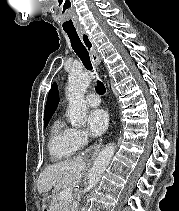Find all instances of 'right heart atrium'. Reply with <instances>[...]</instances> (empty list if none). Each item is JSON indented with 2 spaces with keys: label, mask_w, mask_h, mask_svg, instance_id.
<instances>
[{
  "label": "right heart atrium",
  "mask_w": 179,
  "mask_h": 211,
  "mask_svg": "<svg viewBox=\"0 0 179 211\" xmlns=\"http://www.w3.org/2000/svg\"><path fill=\"white\" fill-rule=\"evenodd\" d=\"M70 135L76 148L86 145L89 139L88 134L81 129L71 128Z\"/></svg>",
  "instance_id": "obj_1"
}]
</instances>
